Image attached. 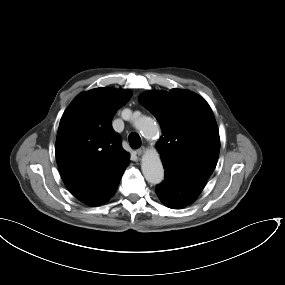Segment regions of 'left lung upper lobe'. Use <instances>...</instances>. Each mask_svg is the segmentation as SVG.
<instances>
[{
  "instance_id": "1",
  "label": "left lung upper lobe",
  "mask_w": 285,
  "mask_h": 285,
  "mask_svg": "<svg viewBox=\"0 0 285 285\" xmlns=\"http://www.w3.org/2000/svg\"><path fill=\"white\" fill-rule=\"evenodd\" d=\"M139 101L160 124L157 148L163 166L207 181L220 151L219 131L208 103L181 89L149 91Z\"/></svg>"
}]
</instances>
